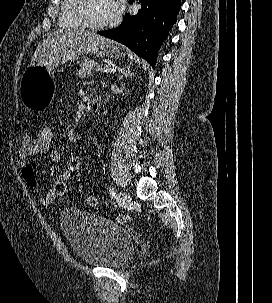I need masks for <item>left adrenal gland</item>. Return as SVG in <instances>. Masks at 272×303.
Masks as SVG:
<instances>
[{
	"label": "left adrenal gland",
	"instance_id": "obj_1",
	"mask_svg": "<svg viewBox=\"0 0 272 303\" xmlns=\"http://www.w3.org/2000/svg\"><path fill=\"white\" fill-rule=\"evenodd\" d=\"M129 75H133V73H131L130 68H123L121 75L119 76V79H123L124 77H127Z\"/></svg>",
	"mask_w": 272,
	"mask_h": 303
}]
</instances>
